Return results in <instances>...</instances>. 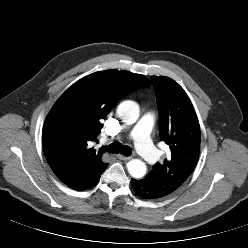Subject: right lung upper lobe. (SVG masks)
<instances>
[{
    "label": "right lung upper lobe",
    "instance_id": "right-lung-upper-lobe-1",
    "mask_svg": "<svg viewBox=\"0 0 248 248\" xmlns=\"http://www.w3.org/2000/svg\"><path fill=\"white\" fill-rule=\"evenodd\" d=\"M142 75L106 70L85 76L70 86L48 114L42 132L45 157L55 175L70 188H89L108 164L103 148L95 150L104 119L122 97L149 87Z\"/></svg>",
    "mask_w": 248,
    "mask_h": 248
}]
</instances>
